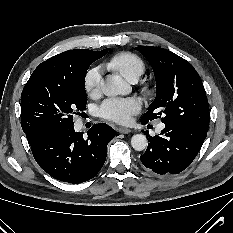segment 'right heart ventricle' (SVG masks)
<instances>
[{"mask_svg":"<svg viewBox=\"0 0 233 233\" xmlns=\"http://www.w3.org/2000/svg\"><path fill=\"white\" fill-rule=\"evenodd\" d=\"M107 68L128 80H132L143 74L145 65L137 55L131 52H120L109 59Z\"/></svg>","mask_w":233,"mask_h":233,"instance_id":"right-heart-ventricle-1","label":"right heart ventricle"}]
</instances>
